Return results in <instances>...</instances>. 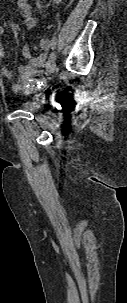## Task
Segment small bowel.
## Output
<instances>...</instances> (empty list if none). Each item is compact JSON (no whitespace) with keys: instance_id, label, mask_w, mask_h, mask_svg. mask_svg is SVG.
Here are the masks:
<instances>
[{"instance_id":"obj_1","label":"small bowel","mask_w":127,"mask_h":303,"mask_svg":"<svg viewBox=\"0 0 127 303\" xmlns=\"http://www.w3.org/2000/svg\"><path fill=\"white\" fill-rule=\"evenodd\" d=\"M17 5L22 11L25 19V24L28 27H33L36 24V18L34 17L32 6L29 0H17ZM5 33V27L0 23V64L1 73L4 78L12 79V72L3 64L5 58V50L2 45V36ZM40 47L43 50L39 56L33 57L30 49L27 46L22 48V56L27 60L26 64L18 67V79L12 83L11 89L15 93H30L34 89L43 83V79L40 76L43 73V69L47 65L48 52L50 51L52 44L47 38H41L39 41Z\"/></svg>"}]
</instances>
